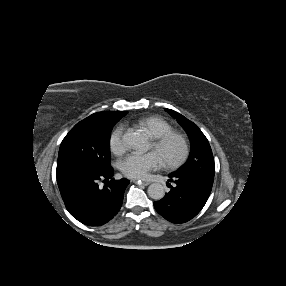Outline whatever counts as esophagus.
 <instances>
[{"mask_svg": "<svg viewBox=\"0 0 286 286\" xmlns=\"http://www.w3.org/2000/svg\"><path fill=\"white\" fill-rule=\"evenodd\" d=\"M135 183H137L138 185H141V186H147L150 184V182L148 181H145V180H142V181H136Z\"/></svg>", "mask_w": 286, "mask_h": 286, "instance_id": "esophagus-1", "label": "esophagus"}]
</instances>
